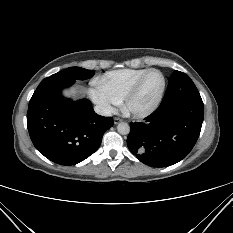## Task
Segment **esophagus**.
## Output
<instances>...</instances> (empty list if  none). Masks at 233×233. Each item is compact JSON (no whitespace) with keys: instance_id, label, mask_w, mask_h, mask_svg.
<instances>
[{"instance_id":"obj_1","label":"esophagus","mask_w":233,"mask_h":233,"mask_svg":"<svg viewBox=\"0 0 233 233\" xmlns=\"http://www.w3.org/2000/svg\"><path fill=\"white\" fill-rule=\"evenodd\" d=\"M119 122H121V119L118 117L114 118V124H118Z\"/></svg>"}]
</instances>
